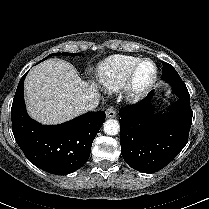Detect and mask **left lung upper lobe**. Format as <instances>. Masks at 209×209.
<instances>
[{
	"instance_id": "obj_1",
	"label": "left lung upper lobe",
	"mask_w": 209,
	"mask_h": 209,
	"mask_svg": "<svg viewBox=\"0 0 209 209\" xmlns=\"http://www.w3.org/2000/svg\"><path fill=\"white\" fill-rule=\"evenodd\" d=\"M180 77L174 67L166 62L163 64L162 79Z\"/></svg>"
}]
</instances>
